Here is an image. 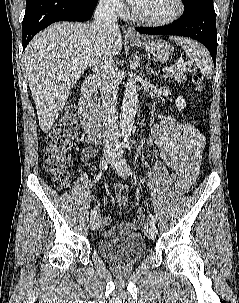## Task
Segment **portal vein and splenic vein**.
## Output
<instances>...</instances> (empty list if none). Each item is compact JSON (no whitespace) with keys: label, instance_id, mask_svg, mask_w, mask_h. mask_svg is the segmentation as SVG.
Returning <instances> with one entry per match:
<instances>
[{"label":"portal vein and splenic vein","instance_id":"obj_1","mask_svg":"<svg viewBox=\"0 0 239 303\" xmlns=\"http://www.w3.org/2000/svg\"><path fill=\"white\" fill-rule=\"evenodd\" d=\"M182 65H183L182 62H178L174 67H167V68H164V69H163V72H165V73L172 72V70H173L174 68L180 67V66H182Z\"/></svg>","mask_w":239,"mask_h":303}]
</instances>
